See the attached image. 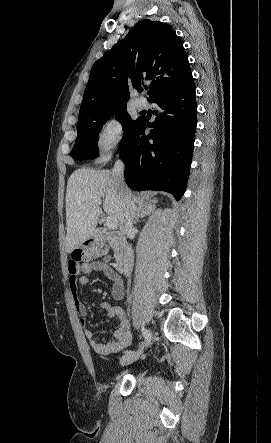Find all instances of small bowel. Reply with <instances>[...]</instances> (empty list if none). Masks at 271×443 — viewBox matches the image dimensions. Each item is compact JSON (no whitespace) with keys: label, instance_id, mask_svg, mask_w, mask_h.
I'll return each instance as SVG.
<instances>
[{"label":"small bowel","instance_id":"1","mask_svg":"<svg viewBox=\"0 0 271 443\" xmlns=\"http://www.w3.org/2000/svg\"><path fill=\"white\" fill-rule=\"evenodd\" d=\"M68 271L70 290L74 297L75 308L82 322L86 318V308L79 297L78 285H86L88 283L87 274L92 271L102 272L112 282L111 295L114 300H121L125 294V285L122 278L104 262L74 264L70 261ZM101 308L109 318H114L118 321V326L114 332L115 339L107 343L101 342L91 330L87 329L85 330V336L89 345L100 355L114 354L129 347L132 342V332L130 323L123 310L109 302H103Z\"/></svg>","mask_w":271,"mask_h":443}]
</instances>
